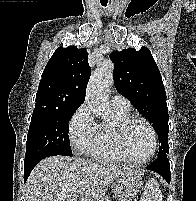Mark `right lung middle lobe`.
<instances>
[{"label": "right lung middle lobe", "mask_w": 196, "mask_h": 201, "mask_svg": "<svg viewBox=\"0 0 196 201\" xmlns=\"http://www.w3.org/2000/svg\"><path fill=\"white\" fill-rule=\"evenodd\" d=\"M78 107L55 109L36 107L27 136L25 160L45 153L72 156L68 123Z\"/></svg>", "instance_id": "obj_1"}]
</instances>
